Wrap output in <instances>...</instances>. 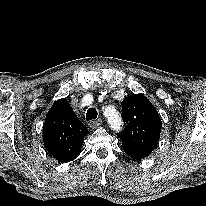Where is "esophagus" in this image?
Here are the masks:
<instances>
[{
  "label": "esophagus",
  "mask_w": 206,
  "mask_h": 206,
  "mask_svg": "<svg viewBox=\"0 0 206 206\" xmlns=\"http://www.w3.org/2000/svg\"><path fill=\"white\" fill-rule=\"evenodd\" d=\"M102 124V120L101 119H97V120H92L90 121L89 125L92 129H95L97 127H99Z\"/></svg>",
  "instance_id": "1"
}]
</instances>
